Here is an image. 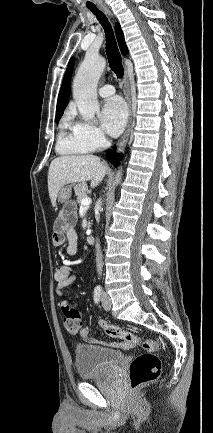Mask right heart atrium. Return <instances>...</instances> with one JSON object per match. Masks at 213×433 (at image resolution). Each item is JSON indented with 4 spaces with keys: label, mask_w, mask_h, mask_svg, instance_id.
Listing matches in <instances>:
<instances>
[{
    "label": "right heart atrium",
    "mask_w": 213,
    "mask_h": 433,
    "mask_svg": "<svg viewBox=\"0 0 213 433\" xmlns=\"http://www.w3.org/2000/svg\"><path fill=\"white\" fill-rule=\"evenodd\" d=\"M77 133L93 148H103L107 139L104 132L97 126L87 122H76L74 124Z\"/></svg>",
    "instance_id": "right-heart-atrium-1"
}]
</instances>
